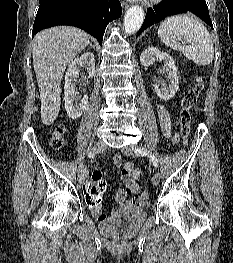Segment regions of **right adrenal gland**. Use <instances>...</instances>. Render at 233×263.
<instances>
[{"label":"right adrenal gland","instance_id":"1","mask_svg":"<svg viewBox=\"0 0 233 263\" xmlns=\"http://www.w3.org/2000/svg\"><path fill=\"white\" fill-rule=\"evenodd\" d=\"M91 48L95 49V47L90 43Z\"/></svg>","mask_w":233,"mask_h":263}]
</instances>
